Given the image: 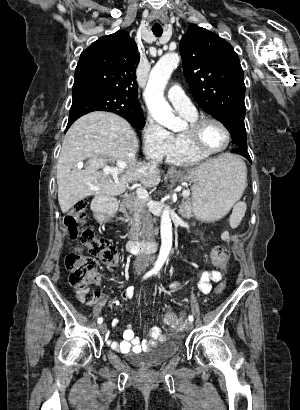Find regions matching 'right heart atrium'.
<instances>
[{
  "label": "right heart atrium",
  "instance_id": "1",
  "mask_svg": "<svg viewBox=\"0 0 300 410\" xmlns=\"http://www.w3.org/2000/svg\"><path fill=\"white\" fill-rule=\"evenodd\" d=\"M143 151L146 156L154 160L164 158L169 146V132L147 116L142 129Z\"/></svg>",
  "mask_w": 300,
  "mask_h": 410
}]
</instances>
